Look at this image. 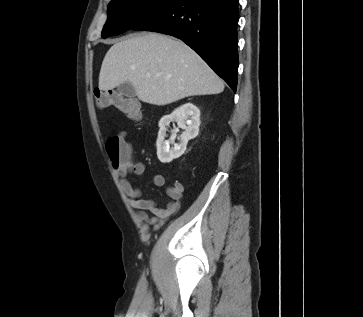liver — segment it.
<instances>
[{
	"mask_svg": "<svg viewBox=\"0 0 363 317\" xmlns=\"http://www.w3.org/2000/svg\"><path fill=\"white\" fill-rule=\"evenodd\" d=\"M130 82L139 100L167 105L188 96L218 94L222 80L184 42L159 33H137L115 43L106 53L99 88Z\"/></svg>",
	"mask_w": 363,
	"mask_h": 317,
	"instance_id": "obj_1",
	"label": "liver"
}]
</instances>
